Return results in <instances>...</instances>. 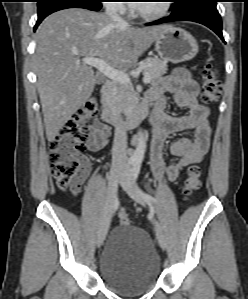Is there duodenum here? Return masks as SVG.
I'll return each instance as SVG.
<instances>
[{
  "instance_id": "duodenum-1",
  "label": "duodenum",
  "mask_w": 248,
  "mask_h": 299,
  "mask_svg": "<svg viewBox=\"0 0 248 299\" xmlns=\"http://www.w3.org/2000/svg\"><path fill=\"white\" fill-rule=\"evenodd\" d=\"M114 84L111 81L105 82L100 90L99 102L101 105V118L110 125L124 124L127 127H135L149 116V104L141 102L135 105L127 117L122 120L112 104Z\"/></svg>"
}]
</instances>
